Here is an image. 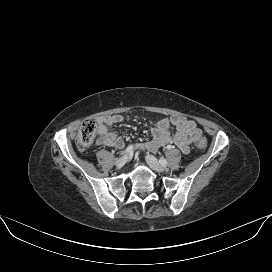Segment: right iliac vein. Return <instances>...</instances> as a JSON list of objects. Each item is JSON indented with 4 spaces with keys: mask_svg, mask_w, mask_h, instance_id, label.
<instances>
[{
    "mask_svg": "<svg viewBox=\"0 0 272 272\" xmlns=\"http://www.w3.org/2000/svg\"><path fill=\"white\" fill-rule=\"evenodd\" d=\"M127 161V155L125 153H122V156H120L116 161H115V166L117 168H121Z\"/></svg>",
    "mask_w": 272,
    "mask_h": 272,
    "instance_id": "1",
    "label": "right iliac vein"
}]
</instances>
